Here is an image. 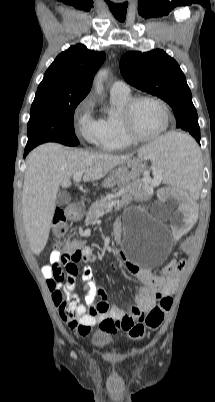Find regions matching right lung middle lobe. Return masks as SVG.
<instances>
[{"label": "right lung middle lobe", "instance_id": "obj_1", "mask_svg": "<svg viewBox=\"0 0 215 402\" xmlns=\"http://www.w3.org/2000/svg\"><path fill=\"white\" fill-rule=\"evenodd\" d=\"M82 99L36 95L30 110L26 148L33 149L44 142L78 145L73 121L75 108Z\"/></svg>", "mask_w": 215, "mask_h": 402}]
</instances>
